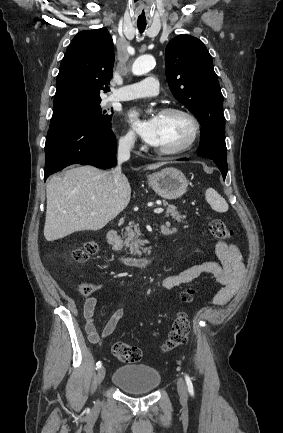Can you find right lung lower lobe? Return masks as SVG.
<instances>
[{
  "label": "right lung lower lobe",
  "mask_w": 283,
  "mask_h": 433,
  "mask_svg": "<svg viewBox=\"0 0 283 433\" xmlns=\"http://www.w3.org/2000/svg\"><path fill=\"white\" fill-rule=\"evenodd\" d=\"M116 139L111 124L68 121L50 123L45 144L44 181L72 164L107 169L116 165Z\"/></svg>",
  "instance_id": "right-lung-lower-lobe-1"
}]
</instances>
